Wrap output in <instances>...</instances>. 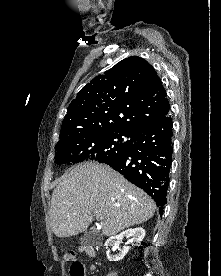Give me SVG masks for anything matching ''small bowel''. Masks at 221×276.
I'll return each mask as SVG.
<instances>
[{
    "label": "small bowel",
    "instance_id": "small-bowel-1",
    "mask_svg": "<svg viewBox=\"0 0 221 276\" xmlns=\"http://www.w3.org/2000/svg\"><path fill=\"white\" fill-rule=\"evenodd\" d=\"M81 250L86 254H88L89 256H94V250L92 247L85 246V247H82Z\"/></svg>",
    "mask_w": 221,
    "mask_h": 276
}]
</instances>
